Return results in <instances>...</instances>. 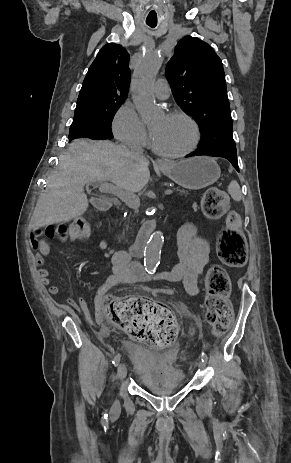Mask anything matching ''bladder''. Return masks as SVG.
Listing matches in <instances>:
<instances>
[{"instance_id": "1", "label": "bladder", "mask_w": 291, "mask_h": 463, "mask_svg": "<svg viewBox=\"0 0 291 463\" xmlns=\"http://www.w3.org/2000/svg\"><path fill=\"white\" fill-rule=\"evenodd\" d=\"M124 347L136 366L138 381L148 389L165 387L181 388L185 384L183 376L171 375L167 367L174 360V356L161 357L136 340L124 342Z\"/></svg>"}]
</instances>
